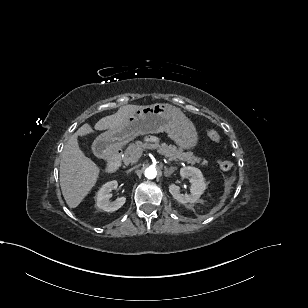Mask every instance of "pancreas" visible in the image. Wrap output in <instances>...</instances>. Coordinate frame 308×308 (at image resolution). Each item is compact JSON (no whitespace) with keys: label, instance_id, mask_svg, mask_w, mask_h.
I'll return each instance as SVG.
<instances>
[{"label":"pancreas","instance_id":"1","mask_svg":"<svg viewBox=\"0 0 308 308\" xmlns=\"http://www.w3.org/2000/svg\"><path fill=\"white\" fill-rule=\"evenodd\" d=\"M145 149H157L160 154L168 158L187 161L191 164L201 163L200 157H195L191 152L184 153L181 149H177V147L174 145H168L166 143H144L142 141H136L126 148L122 158L124 164L128 165L130 163H136ZM207 164L208 162L204 160L201 163V166H207Z\"/></svg>","mask_w":308,"mask_h":308}]
</instances>
